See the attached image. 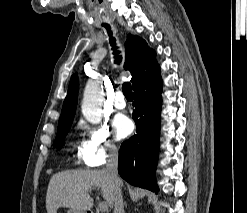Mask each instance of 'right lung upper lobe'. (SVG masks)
Returning a JSON list of instances; mask_svg holds the SVG:
<instances>
[{
	"mask_svg": "<svg viewBox=\"0 0 247 213\" xmlns=\"http://www.w3.org/2000/svg\"><path fill=\"white\" fill-rule=\"evenodd\" d=\"M155 56V51L148 47L145 40L138 36L128 35V39L125 42L124 68L131 72L133 88L160 71ZM77 97L78 78L77 75H73L63 103L58 127L72 124L76 111Z\"/></svg>",
	"mask_w": 247,
	"mask_h": 213,
	"instance_id": "obj_1",
	"label": "right lung upper lobe"
}]
</instances>
